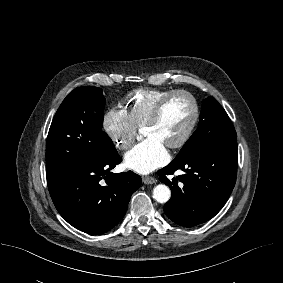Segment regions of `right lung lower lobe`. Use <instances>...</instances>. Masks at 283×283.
<instances>
[{
  "label": "right lung lower lobe",
  "instance_id": "98d812e1",
  "mask_svg": "<svg viewBox=\"0 0 283 283\" xmlns=\"http://www.w3.org/2000/svg\"><path fill=\"white\" fill-rule=\"evenodd\" d=\"M120 162L114 148L93 161L47 176L51 198L69 224L85 233L102 234L122 219L142 180L132 171L110 172Z\"/></svg>",
  "mask_w": 283,
  "mask_h": 283
}]
</instances>
